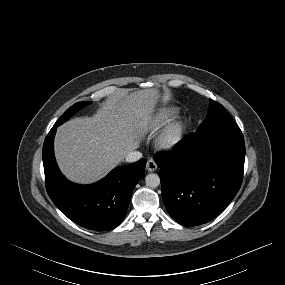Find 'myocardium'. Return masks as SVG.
Masks as SVG:
<instances>
[{
    "instance_id": "f54148a6",
    "label": "myocardium",
    "mask_w": 285,
    "mask_h": 285,
    "mask_svg": "<svg viewBox=\"0 0 285 285\" xmlns=\"http://www.w3.org/2000/svg\"><path fill=\"white\" fill-rule=\"evenodd\" d=\"M185 124L181 119L173 121L157 138V146L164 151L175 150L181 143Z\"/></svg>"
}]
</instances>
